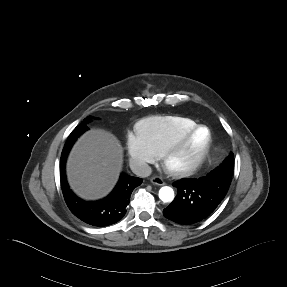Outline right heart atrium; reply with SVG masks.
Returning <instances> with one entry per match:
<instances>
[{
  "instance_id": "1",
  "label": "right heart atrium",
  "mask_w": 287,
  "mask_h": 287,
  "mask_svg": "<svg viewBox=\"0 0 287 287\" xmlns=\"http://www.w3.org/2000/svg\"><path fill=\"white\" fill-rule=\"evenodd\" d=\"M131 164L140 172H145L158 159V154L148 139L140 133L131 134L127 139Z\"/></svg>"
}]
</instances>
